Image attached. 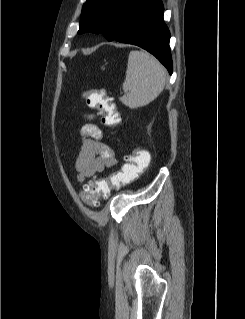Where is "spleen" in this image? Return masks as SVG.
Returning <instances> with one entry per match:
<instances>
[{
    "mask_svg": "<svg viewBox=\"0 0 245 319\" xmlns=\"http://www.w3.org/2000/svg\"><path fill=\"white\" fill-rule=\"evenodd\" d=\"M166 75L155 57L145 51H131L120 101L131 109L148 105L163 91Z\"/></svg>",
    "mask_w": 245,
    "mask_h": 319,
    "instance_id": "spleen-1",
    "label": "spleen"
}]
</instances>
